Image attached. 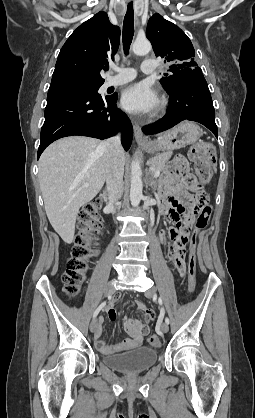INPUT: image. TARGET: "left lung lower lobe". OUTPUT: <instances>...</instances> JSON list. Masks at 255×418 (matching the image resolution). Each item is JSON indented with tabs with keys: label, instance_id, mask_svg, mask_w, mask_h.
I'll use <instances>...</instances> for the list:
<instances>
[{
	"label": "left lung lower lobe",
	"instance_id": "left-lung-lower-lobe-1",
	"mask_svg": "<svg viewBox=\"0 0 255 418\" xmlns=\"http://www.w3.org/2000/svg\"><path fill=\"white\" fill-rule=\"evenodd\" d=\"M168 94L170 96L168 113L156 123L144 126L142 131L146 135L170 129L183 120H191L203 124L218 138L215 111L203 73L182 79Z\"/></svg>",
	"mask_w": 255,
	"mask_h": 418
}]
</instances>
